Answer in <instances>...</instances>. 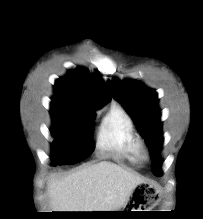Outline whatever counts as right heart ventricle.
Segmentation results:
<instances>
[{"label":"right heart ventricle","mask_w":203,"mask_h":219,"mask_svg":"<svg viewBox=\"0 0 203 219\" xmlns=\"http://www.w3.org/2000/svg\"><path fill=\"white\" fill-rule=\"evenodd\" d=\"M98 148L117 158L130 162L141 159L140 141L128 114L119 106H113L99 129Z\"/></svg>","instance_id":"e07e8e85"}]
</instances>
